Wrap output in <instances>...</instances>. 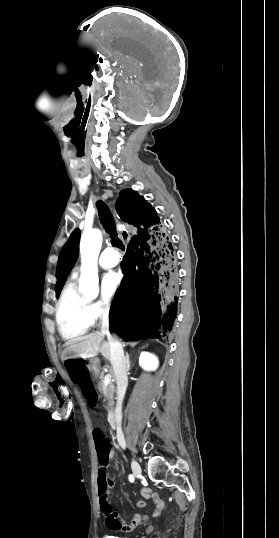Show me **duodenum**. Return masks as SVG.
<instances>
[{
  "instance_id": "obj_1",
  "label": "duodenum",
  "mask_w": 279,
  "mask_h": 538,
  "mask_svg": "<svg viewBox=\"0 0 279 538\" xmlns=\"http://www.w3.org/2000/svg\"><path fill=\"white\" fill-rule=\"evenodd\" d=\"M92 372L94 374H97L99 372V366L97 364H94L92 366ZM121 413H128V410H121ZM107 417H108L107 422L109 423V427L111 429H114L115 427H117V424L114 423L115 422L114 418L120 417L119 410H116V413L114 412L108 413Z\"/></svg>"
}]
</instances>
